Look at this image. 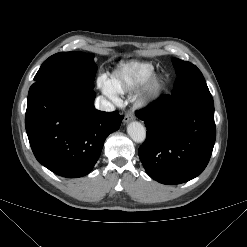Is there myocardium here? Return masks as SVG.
<instances>
[{"mask_svg":"<svg viewBox=\"0 0 247 247\" xmlns=\"http://www.w3.org/2000/svg\"><path fill=\"white\" fill-rule=\"evenodd\" d=\"M164 79L161 76L154 75L136 95L135 103L138 106H146L154 101L164 89Z\"/></svg>","mask_w":247,"mask_h":247,"instance_id":"f54148a6","label":"myocardium"}]
</instances>
